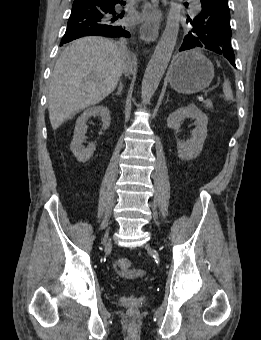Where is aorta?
<instances>
[{
  "instance_id": "aorta-1",
  "label": "aorta",
  "mask_w": 261,
  "mask_h": 340,
  "mask_svg": "<svg viewBox=\"0 0 261 340\" xmlns=\"http://www.w3.org/2000/svg\"><path fill=\"white\" fill-rule=\"evenodd\" d=\"M181 1H171L166 27L145 70L141 87L143 105L150 102L172 56L179 32Z\"/></svg>"
}]
</instances>
